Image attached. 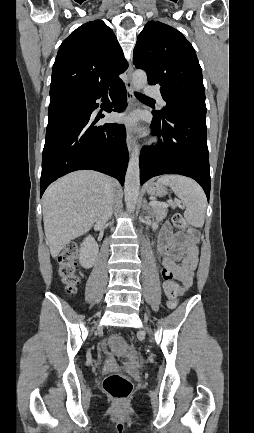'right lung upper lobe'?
<instances>
[{
    "label": "right lung upper lobe",
    "instance_id": "right-lung-upper-lobe-1",
    "mask_svg": "<svg viewBox=\"0 0 254 433\" xmlns=\"http://www.w3.org/2000/svg\"><path fill=\"white\" fill-rule=\"evenodd\" d=\"M128 67L111 28L102 20L88 22L59 47L52 69L50 97L63 93H98L122 82Z\"/></svg>",
    "mask_w": 254,
    "mask_h": 433
}]
</instances>
